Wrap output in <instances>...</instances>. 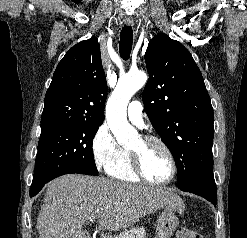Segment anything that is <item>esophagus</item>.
I'll list each match as a JSON object with an SVG mask.
<instances>
[{"label":"esophagus","mask_w":247,"mask_h":238,"mask_svg":"<svg viewBox=\"0 0 247 238\" xmlns=\"http://www.w3.org/2000/svg\"><path fill=\"white\" fill-rule=\"evenodd\" d=\"M125 23H126V25H128V26H132V25L134 24V21L131 20V19H127V20L125 21Z\"/></svg>","instance_id":"esophagus-1"}]
</instances>
